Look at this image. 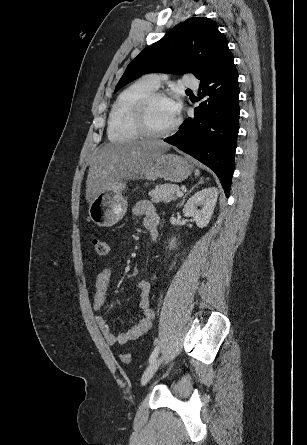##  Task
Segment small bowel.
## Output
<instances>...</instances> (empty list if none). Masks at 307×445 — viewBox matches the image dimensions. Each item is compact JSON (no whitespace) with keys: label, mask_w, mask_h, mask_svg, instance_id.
Returning <instances> with one entry per match:
<instances>
[{"label":"small bowel","mask_w":307,"mask_h":445,"mask_svg":"<svg viewBox=\"0 0 307 445\" xmlns=\"http://www.w3.org/2000/svg\"><path fill=\"white\" fill-rule=\"evenodd\" d=\"M133 213L137 216L144 217V226L149 231L151 240L156 241L159 234L160 216L154 209L153 205L146 200L139 201L133 207ZM111 278L112 270L110 267L103 268L96 277L95 295L93 300V309L96 312L101 311L104 307ZM155 281L156 276L154 275L151 282L140 281L138 283L137 287L140 291L139 308L141 310V317L127 331L114 334L105 317L101 315L96 317V322L100 331L109 345L125 344L139 338L150 329L154 319V311L150 307L149 293L152 283Z\"/></svg>","instance_id":"small-bowel-1"}]
</instances>
